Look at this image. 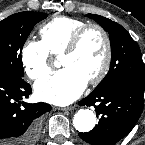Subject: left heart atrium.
<instances>
[{
  "label": "left heart atrium",
  "mask_w": 145,
  "mask_h": 145,
  "mask_svg": "<svg viewBox=\"0 0 145 145\" xmlns=\"http://www.w3.org/2000/svg\"><path fill=\"white\" fill-rule=\"evenodd\" d=\"M87 79L73 67H64L53 76L40 79L34 85L37 97L43 101L67 105L78 98Z\"/></svg>",
  "instance_id": "obj_1"
}]
</instances>
